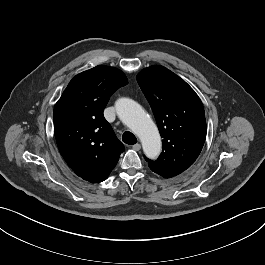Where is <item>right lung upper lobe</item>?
<instances>
[{
	"instance_id": "1",
	"label": "right lung upper lobe",
	"mask_w": 265,
	"mask_h": 265,
	"mask_svg": "<svg viewBox=\"0 0 265 265\" xmlns=\"http://www.w3.org/2000/svg\"><path fill=\"white\" fill-rule=\"evenodd\" d=\"M127 83L121 70L96 66L76 75L54 107L59 151L72 170L91 183L104 181L124 152L103 110L110 96Z\"/></svg>"
}]
</instances>
